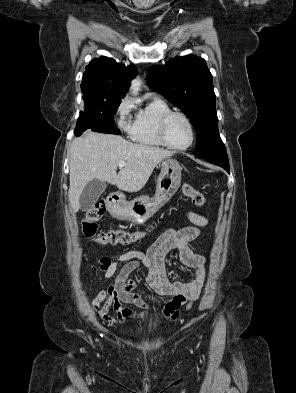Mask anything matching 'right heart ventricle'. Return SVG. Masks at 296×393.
<instances>
[{"label":"right heart ventricle","mask_w":296,"mask_h":393,"mask_svg":"<svg viewBox=\"0 0 296 393\" xmlns=\"http://www.w3.org/2000/svg\"><path fill=\"white\" fill-rule=\"evenodd\" d=\"M170 111L171 108L164 100L151 99L136 114L131 131L132 139L144 146L164 147L159 138L158 127L161 118Z\"/></svg>","instance_id":"1"}]
</instances>
